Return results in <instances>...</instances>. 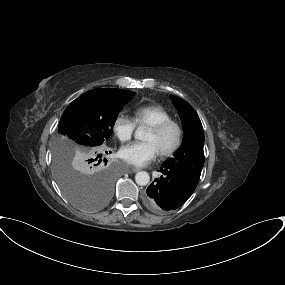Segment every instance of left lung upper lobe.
<instances>
[{"label": "left lung upper lobe", "mask_w": 285, "mask_h": 285, "mask_svg": "<svg viewBox=\"0 0 285 285\" xmlns=\"http://www.w3.org/2000/svg\"><path fill=\"white\" fill-rule=\"evenodd\" d=\"M172 102L178 110L184 138L182 145L164 165L182 170L200 179L204 165V132L201 121L194 108L185 100L171 96Z\"/></svg>", "instance_id": "obj_1"}]
</instances>
